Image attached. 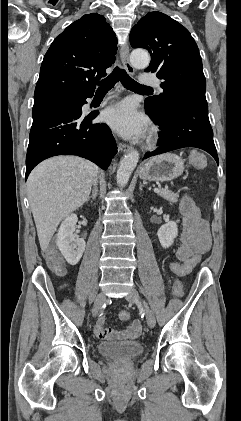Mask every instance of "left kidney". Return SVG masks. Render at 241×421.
I'll list each match as a JSON object with an SVG mask.
<instances>
[{
    "label": "left kidney",
    "mask_w": 241,
    "mask_h": 421,
    "mask_svg": "<svg viewBox=\"0 0 241 421\" xmlns=\"http://www.w3.org/2000/svg\"><path fill=\"white\" fill-rule=\"evenodd\" d=\"M177 235L178 227L177 224L173 221L167 222L166 224L162 225L157 232L160 244L165 249L169 248L172 245Z\"/></svg>",
    "instance_id": "1"
}]
</instances>
